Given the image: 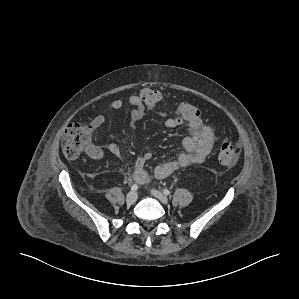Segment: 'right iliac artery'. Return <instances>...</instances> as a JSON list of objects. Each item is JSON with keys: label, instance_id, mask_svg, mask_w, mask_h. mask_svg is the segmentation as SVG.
<instances>
[{"label": "right iliac artery", "instance_id": "right-iliac-artery-1", "mask_svg": "<svg viewBox=\"0 0 299 299\" xmlns=\"http://www.w3.org/2000/svg\"><path fill=\"white\" fill-rule=\"evenodd\" d=\"M138 189V185L137 184H133L132 186H131V190L132 191H136Z\"/></svg>", "mask_w": 299, "mask_h": 299}]
</instances>
